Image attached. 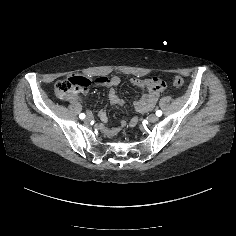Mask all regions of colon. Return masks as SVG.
I'll return each mask as SVG.
<instances>
[{"label": "colon", "mask_w": 236, "mask_h": 236, "mask_svg": "<svg viewBox=\"0 0 236 236\" xmlns=\"http://www.w3.org/2000/svg\"><path fill=\"white\" fill-rule=\"evenodd\" d=\"M157 82L158 80L155 79ZM173 86L175 88H182L184 80L181 76L176 75L173 77ZM90 85V81L82 76H73L65 79L58 80L55 85V93L60 99H67L81 91H84Z\"/></svg>", "instance_id": "5ec220e1"}]
</instances>
